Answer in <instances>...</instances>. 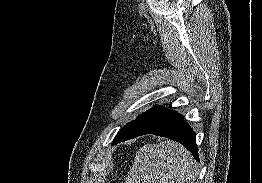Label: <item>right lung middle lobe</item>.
I'll list each match as a JSON object with an SVG mask.
<instances>
[{"instance_id": "right-lung-middle-lobe-1", "label": "right lung middle lobe", "mask_w": 262, "mask_h": 183, "mask_svg": "<svg viewBox=\"0 0 262 183\" xmlns=\"http://www.w3.org/2000/svg\"><path fill=\"white\" fill-rule=\"evenodd\" d=\"M132 122H133V121H132ZM129 124H130V123H129ZM129 124H128V125H129ZM128 125H127V126H128ZM127 126H125V127L117 134V136L115 137V139H117V138L122 134V132L126 129ZM115 139H114V140H115Z\"/></svg>"}]
</instances>
